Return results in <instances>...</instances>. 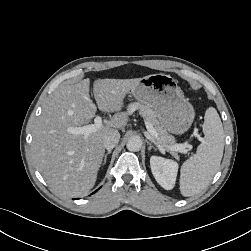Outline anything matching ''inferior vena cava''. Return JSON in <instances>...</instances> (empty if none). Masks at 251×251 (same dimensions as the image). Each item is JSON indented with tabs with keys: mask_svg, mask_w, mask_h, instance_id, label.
<instances>
[{
	"mask_svg": "<svg viewBox=\"0 0 251 251\" xmlns=\"http://www.w3.org/2000/svg\"><path fill=\"white\" fill-rule=\"evenodd\" d=\"M120 140V134L119 132H115L113 134H110L104 138L103 145L104 148L107 150L113 149Z\"/></svg>",
	"mask_w": 251,
	"mask_h": 251,
	"instance_id": "obj_1",
	"label": "inferior vena cava"
}]
</instances>
